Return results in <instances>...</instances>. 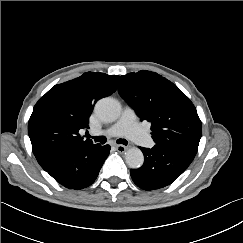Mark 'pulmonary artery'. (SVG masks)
I'll use <instances>...</instances> for the list:
<instances>
[{"instance_id": "pulmonary-artery-1", "label": "pulmonary artery", "mask_w": 243, "mask_h": 243, "mask_svg": "<svg viewBox=\"0 0 243 243\" xmlns=\"http://www.w3.org/2000/svg\"><path fill=\"white\" fill-rule=\"evenodd\" d=\"M91 134L110 137L125 135L144 146L151 141L149 135L137 123L135 112L129 107L125 108L122 117L117 123L105 130H92Z\"/></svg>"}]
</instances>
